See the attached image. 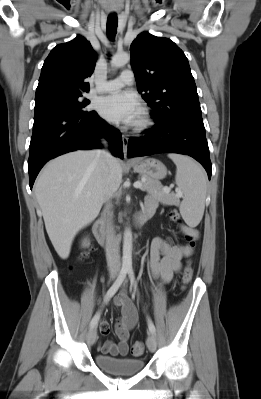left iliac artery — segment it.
<instances>
[{"mask_svg": "<svg viewBox=\"0 0 261 399\" xmlns=\"http://www.w3.org/2000/svg\"><path fill=\"white\" fill-rule=\"evenodd\" d=\"M128 275H129V279L131 284L134 286L135 290L137 289V285H136V280H135V275L134 272L132 270V268L128 269ZM148 327L151 333H155L156 329L155 326L153 324V322L151 321L150 318H148Z\"/></svg>", "mask_w": 261, "mask_h": 399, "instance_id": "obj_1", "label": "left iliac artery"}]
</instances>
